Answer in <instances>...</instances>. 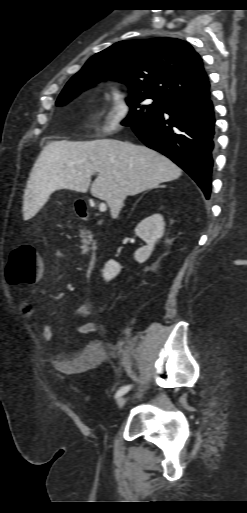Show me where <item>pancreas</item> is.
Instances as JSON below:
<instances>
[{
	"instance_id": "1",
	"label": "pancreas",
	"mask_w": 247,
	"mask_h": 513,
	"mask_svg": "<svg viewBox=\"0 0 247 513\" xmlns=\"http://www.w3.org/2000/svg\"><path fill=\"white\" fill-rule=\"evenodd\" d=\"M80 235L82 237V244H83L82 253L87 254V252L89 251V246L92 245V247L94 248L96 245V242L93 240L91 232L89 230H87L86 228L81 230Z\"/></svg>"
}]
</instances>
